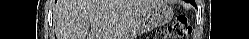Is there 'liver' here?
Returning a JSON list of instances; mask_svg holds the SVG:
<instances>
[{
  "label": "liver",
  "mask_w": 249,
  "mask_h": 39,
  "mask_svg": "<svg viewBox=\"0 0 249 39\" xmlns=\"http://www.w3.org/2000/svg\"><path fill=\"white\" fill-rule=\"evenodd\" d=\"M158 3V0L61 2L56 18L57 39H124L135 18Z\"/></svg>",
  "instance_id": "obj_1"
}]
</instances>
